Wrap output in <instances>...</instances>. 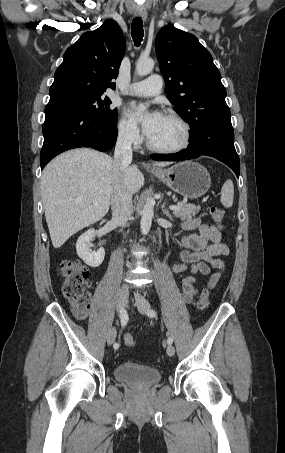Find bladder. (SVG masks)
Returning <instances> with one entry per match:
<instances>
[{
    "label": "bladder",
    "instance_id": "obj_1",
    "mask_svg": "<svg viewBox=\"0 0 285 453\" xmlns=\"http://www.w3.org/2000/svg\"><path fill=\"white\" fill-rule=\"evenodd\" d=\"M114 376L120 382L137 387H149L161 379L158 369L130 362L116 366Z\"/></svg>",
    "mask_w": 285,
    "mask_h": 453
}]
</instances>
